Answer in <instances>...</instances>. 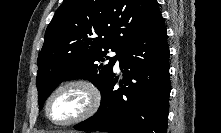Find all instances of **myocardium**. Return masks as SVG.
Returning <instances> with one entry per match:
<instances>
[{
    "label": "myocardium",
    "mask_w": 221,
    "mask_h": 133,
    "mask_svg": "<svg viewBox=\"0 0 221 133\" xmlns=\"http://www.w3.org/2000/svg\"><path fill=\"white\" fill-rule=\"evenodd\" d=\"M77 88L84 92L86 96V104L84 108L74 115L72 118L65 121H54L49 115V107L52 100L60 92L70 89ZM102 100V95L99 87L93 81L86 78H72L58 84L48 95L44 104V114L46 119L53 125L59 127H66L73 124L80 123L91 118L99 109Z\"/></svg>",
    "instance_id": "obj_1"
}]
</instances>
